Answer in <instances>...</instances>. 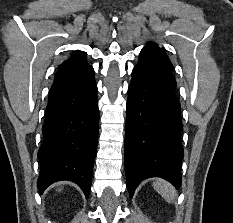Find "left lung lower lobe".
<instances>
[{
	"label": "left lung lower lobe",
	"mask_w": 233,
	"mask_h": 223,
	"mask_svg": "<svg viewBox=\"0 0 233 223\" xmlns=\"http://www.w3.org/2000/svg\"><path fill=\"white\" fill-rule=\"evenodd\" d=\"M172 69L165 50L149 43L132 71L125 134V170L131 197L138 184L150 177H161L176 188L181 185L183 124Z\"/></svg>",
	"instance_id": "1"
}]
</instances>
